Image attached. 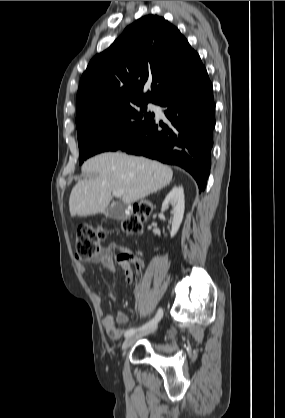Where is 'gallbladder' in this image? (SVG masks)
Masks as SVG:
<instances>
[{
	"instance_id": "gallbladder-1",
	"label": "gallbladder",
	"mask_w": 285,
	"mask_h": 418,
	"mask_svg": "<svg viewBox=\"0 0 285 418\" xmlns=\"http://www.w3.org/2000/svg\"><path fill=\"white\" fill-rule=\"evenodd\" d=\"M124 209H125V205L115 204L106 208L103 211V214L105 215L106 218L117 220L124 216Z\"/></svg>"
}]
</instances>
